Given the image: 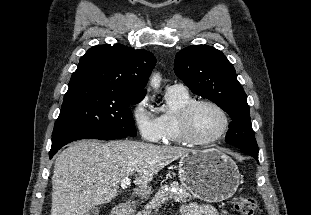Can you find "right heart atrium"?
<instances>
[{
  "label": "right heart atrium",
  "instance_id": "d8ad5b80",
  "mask_svg": "<svg viewBox=\"0 0 311 215\" xmlns=\"http://www.w3.org/2000/svg\"><path fill=\"white\" fill-rule=\"evenodd\" d=\"M131 114L136 129L145 141L153 143L164 141V126L160 117L153 112L146 96L134 103Z\"/></svg>",
  "mask_w": 311,
  "mask_h": 215
}]
</instances>
